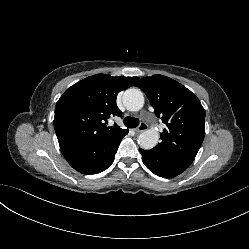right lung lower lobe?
<instances>
[{"mask_svg":"<svg viewBox=\"0 0 249 249\" xmlns=\"http://www.w3.org/2000/svg\"><path fill=\"white\" fill-rule=\"evenodd\" d=\"M127 133L95 144L63 145L60 149L74 169L83 174H96L106 170L113 163L118 146Z\"/></svg>","mask_w":249,"mask_h":249,"instance_id":"right-lung-lower-lobe-1","label":"right lung lower lobe"}]
</instances>
